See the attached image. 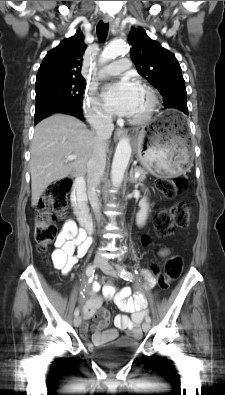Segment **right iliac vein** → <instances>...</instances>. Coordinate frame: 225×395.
<instances>
[{
    "label": "right iliac vein",
    "instance_id": "63e3f726",
    "mask_svg": "<svg viewBox=\"0 0 225 395\" xmlns=\"http://www.w3.org/2000/svg\"><path fill=\"white\" fill-rule=\"evenodd\" d=\"M103 262H104V260H103L102 257H100V256L95 257L94 262H93L94 267H100L103 264ZM73 323H74L75 327H78L80 325V323H81V317L80 316H76L74 318Z\"/></svg>",
    "mask_w": 225,
    "mask_h": 395
}]
</instances>
